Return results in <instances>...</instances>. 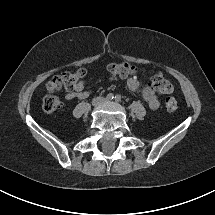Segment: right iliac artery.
<instances>
[{
  "instance_id": "82829eb1",
  "label": "right iliac artery",
  "mask_w": 215,
  "mask_h": 215,
  "mask_svg": "<svg viewBox=\"0 0 215 215\" xmlns=\"http://www.w3.org/2000/svg\"><path fill=\"white\" fill-rule=\"evenodd\" d=\"M114 98V95L112 93H109L107 96H106V99L107 100H112Z\"/></svg>"
}]
</instances>
